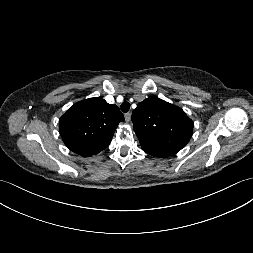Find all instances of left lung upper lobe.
Returning a JSON list of instances; mask_svg holds the SVG:
<instances>
[{"label": "left lung upper lobe", "mask_w": 253, "mask_h": 253, "mask_svg": "<svg viewBox=\"0 0 253 253\" xmlns=\"http://www.w3.org/2000/svg\"><path fill=\"white\" fill-rule=\"evenodd\" d=\"M132 122L142 149L155 157L179 152L189 142L194 126L181 108L154 96L137 105Z\"/></svg>", "instance_id": "5c2ea615"}]
</instances>
